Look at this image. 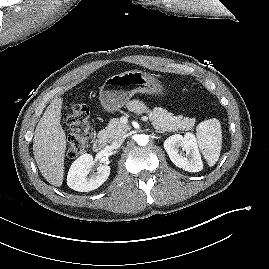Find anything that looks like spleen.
Instances as JSON below:
<instances>
[{
	"mask_svg": "<svg viewBox=\"0 0 269 269\" xmlns=\"http://www.w3.org/2000/svg\"><path fill=\"white\" fill-rule=\"evenodd\" d=\"M198 146L209 166H214L220 157L222 129L218 119L202 121L196 130Z\"/></svg>",
	"mask_w": 269,
	"mask_h": 269,
	"instance_id": "spleen-1",
	"label": "spleen"
}]
</instances>
